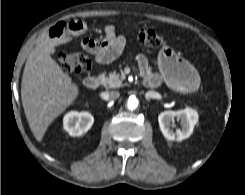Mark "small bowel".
<instances>
[{
	"label": "small bowel",
	"instance_id": "1",
	"mask_svg": "<svg viewBox=\"0 0 245 195\" xmlns=\"http://www.w3.org/2000/svg\"><path fill=\"white\" fill-rule=\"evenodd\" d=\"M86 29L87 25L82 21L62 22L51 28L50 35L52 38H61L67 32L82 34ZM104 32L105 36L100 40L84 37L81 41L82 47L94 55L98 64H107L115 60L120 56L126 45V38L118 35L113 26H105ZM137 61L144 74L157 76L151 72L148 59L144 54H139Z\"/></svg>",
	"mask_w": 245,
	"mask_h": 195
}]
</instances>
